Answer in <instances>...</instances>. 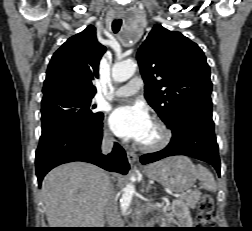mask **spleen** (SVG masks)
<instances>
[{
    "label": "spleen",
    "instance_id": "1",
    "mask_svg": "<svg viewBox=\"0 0 252 231\" xmlns=\"http://www.w3.org/2000/svg\"><path fill=\"white\" fill-rule=\"evenodd\" d=\"M196 177L201 181L204 189L211 192H215L217 190V185L212 173L202 165L197 166Z\"/></svg>",
    "mask_w": 252,
    "mask_h": 231
}]
</instances>
